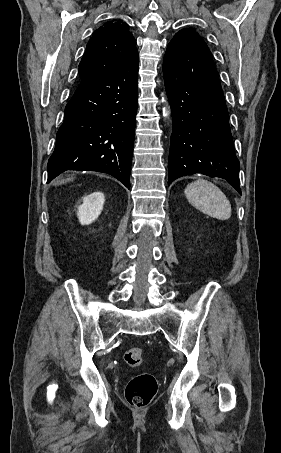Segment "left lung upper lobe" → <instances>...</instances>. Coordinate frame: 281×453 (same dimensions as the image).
<instances>
[{"label":"left lung upper lobe","instance_id":"obj_1","mask_svg":"<svg viewBox=\"0 0 281 453\" xmlns=\"http://www.w3.org/2000/svg\"><path fill=\"white\" fill-rule=\"evenodd\" d=\"M180 36L187 37L190 39H195V38L200 37L197 32H195L193 29H188V28L180 30L174 37H180Z\"/></svg>","mask_w":281,"mask_h":453}]
</instances>
